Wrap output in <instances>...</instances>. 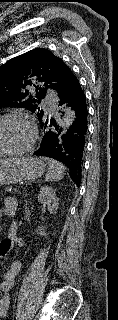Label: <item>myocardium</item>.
<instances>
[{
  "mask_svg": "<svg viewBox=\"0 0 118 320\" xmlns=\"http://www.w3.org/2000/svg\"><path fill=\"white\" fill-rule=\"evenodd\" d=\"M7 120H19L27 124L31 131V139L25 147L20 149L8 150L0 146V155H22L30 152L38 139V130L34 122L27 116L20 113H9L0 116V123Z\"/></svg>",
  "mask_w": 118,
  "mask_h": 320,
  "instance_id": "obj_1",
  "label": "myocardium"
}]
</instances>
